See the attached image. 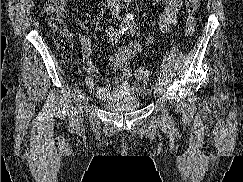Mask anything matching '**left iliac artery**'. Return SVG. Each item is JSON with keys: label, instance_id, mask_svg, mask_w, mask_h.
I'll list each match as a JSON object with an SVG mask.
<instances>
[{"label": "left iliac artery", "instance_id": "1", "mask_svg": "<svg viewBox=\"0 0 243 182\" xmlns=\"http://www.w3.org/2000/svg\"><path fill=\"white\" fill-rule=\"evenodd\" d=\"M129 29L134 34L136 32V25L133 22H131L129 24ZM158 80H159V84L162 86L163 85V79H162L161 75H159Z\"/></svg>", "mask_w": 243, "mask_h": 182}]
</instances>
